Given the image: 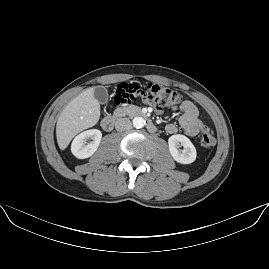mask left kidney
<instances>
[{"mask_svg": "<svg viewBox=\"0 0 269 269\" xmlns=\"http://www.w3.org/2000/svg\"><path fill=\"white\" fill-rule=\"evenodd\" d=\"M169 151L175 161L182 164H190L196 159V148L192 142L184 135H172L168 139ZM183 146V150L179 147Z\"/></svg>", "mask_w": 269, "mask_h": 269, "instance_id": "left-kidney-1", "label": "left kidney"}]
</instances>
